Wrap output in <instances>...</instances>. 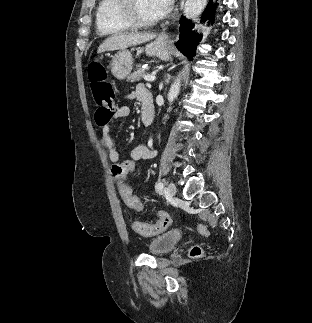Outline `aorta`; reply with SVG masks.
<instances>
[{"mask_svg": "<svg viewBox=\"0 0 312 323\" xmlns=\"http://www.w3.org/2000/svg\"><path fill=\"white\" fill-rule=\"evenodd\" d=\"M180 80H175L174 84H172L170 88V92L168 94L169 98H177L180 92Z\"/></svg>", "mask_w": 312, "mask_h": 323, "instance_id": "762f6f07", "label": "aorta"}]
</instances>
